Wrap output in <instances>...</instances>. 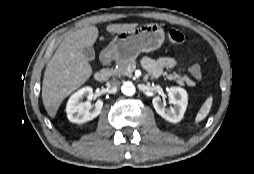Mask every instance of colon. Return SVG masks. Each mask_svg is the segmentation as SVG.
<instances>
[{
	"label": "colon",
	"mask_w": 254,
	"mask_h": 174,
	"mask_svg": "<svg viewBox=\"0 0 254 174\" xmlns=\"http://www.w3.org/2000/svg\"><path fill=\"white\" fill-rule=\"evenodd\" d=\"M168 40L171 43L179 44L184 41V35L178 29L172 28L168 31ZM189 70L194 78H196L197 80L202 79V77H203L202 69H201V66L197 62H193L190 65Z\"/></svg>",
	"instance_id": "colon-1"
}]
</instances>
